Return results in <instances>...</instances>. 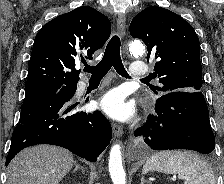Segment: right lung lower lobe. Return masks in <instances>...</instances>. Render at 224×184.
Here are the masks:
<instances>
[{"label":"right lung lower lobe","instance_id":"right-lung-lower-lobe-1","mask_svg":"<svg viewBox=\"0 0 224 184\" xmlns=\"http://www.w3.org/2000/svg\"><path fill=\"white\" fill-rule=\"evenodd\" d=\"M72 87L34 97L21 105L6 166L22 149L37 144L58 145L88 161H97L111 140L110 122L100 112L77 111L78 104L71 101L77 87Z\"/></svg>","mask_w":224,"mask_h":184}]
</instances>
